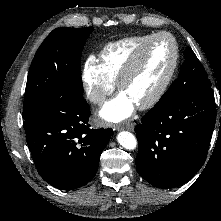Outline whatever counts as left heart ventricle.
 <instances>
[{"instance_id": "left-heart-ventricle-1", "label": "left heart ventricle", "mask_w": 221, "mask_h": 221, "mask_svg": "<svg viewBox=\"0 0 221 221\" xmlns=\"http://www.w3.org/2000/svg\"><path fill=\"white\" fill-rule=\"evenodd\" d=\"M173 58V45L169 38L161 37L147 49L136 75L123 87L122 93L135 105L146 101L166 76Z\"/></svg>"}]
</instances>
